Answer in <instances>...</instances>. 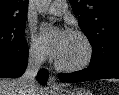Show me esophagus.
<instances>
[{
	"label": "esophagus",
	"instance_id": "1",
	"mask_svg": "<svg viewBox=\"0 0 119 95\" xmlns=\"http://www.w3.org/2000/svg\"><path fill=\"white\" fill-rule=\"evenodd\" d=\"M47 85L50 89H58L60 87V84L57 82L56 78L53 76L49 77Z\"/></svg>",
	"mask_w": 119,
	"mask_h": 95
}]
</instances>
